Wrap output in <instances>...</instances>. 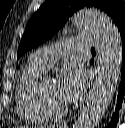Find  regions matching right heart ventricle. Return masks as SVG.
<instances>
[{
	"mask_svg": "<svg viewBox=\"0 0 125 128\" xmlns=\"http://www.w3.org/2000/svg\"><path fill=\"white\" fill-rule=\"evenodd\" d=\"M45 69L31 60L23 68L17 85L16 109L26 122L43 124L52 118L40 106L36 96V85Z\"/></svg>",
	"mask_w": 125,
	"mask_h": 128,
	"instance_id": "e07e8e85",
	"label": "right heart ventricle"
}]
</instances>
